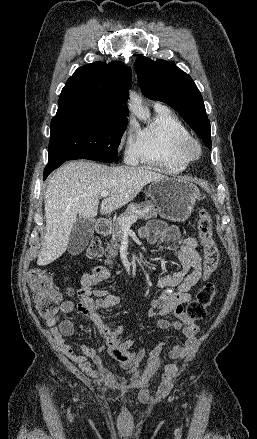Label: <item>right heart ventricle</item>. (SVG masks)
Instances as JSON below:
<instances>
[{
  "instance_id": "obj_1",
  "label": "right heart ventricle",
  "mask_w": 257,
  "mask_h": 439,
  "mask_svg": "<svg viewBox=\"0 0 257 439\" xmlns=\"http://www.w3.org/2000/svg\"><path fill=\"white\" fill-rule=\"evenodd\" d=\"M190 136L183 122L166 108L156 110L152 122L137 132V157L133 163L168 174L182 172L188 165L176 149L180 139Z\"/></svg>"
}]
</instances>
